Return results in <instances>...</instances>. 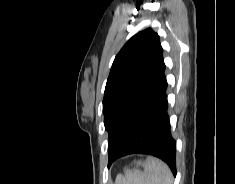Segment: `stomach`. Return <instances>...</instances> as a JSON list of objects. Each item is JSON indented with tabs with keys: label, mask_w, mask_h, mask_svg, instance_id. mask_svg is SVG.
<instances>
[{
	"label": "stomach",
	"mask_w": 235,
	"mask_h": 184,
	"mask_svg": "<svg viewBox=\"0 0 235 184\" xmlns=\"http://www.w3.org/2000/svg\"><path fill=\"white\" fill-rule=\"evenodd\" d=\"M136 166H141L142 162H135Z\"/></svg>",
	"instance_id": "stomach-1"
}]
</instances>
